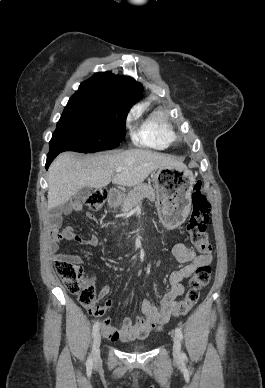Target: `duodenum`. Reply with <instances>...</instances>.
<instances>
[{
	"mask_svg": "<svg viewBox=\"0 0 265 388\" xmlns=\"http://www.w3.org/2000/svg\"><path fill=\"white\" fill-rule=\"evenodd\" d=\"M122 200V193L117 189H112L108 195V201L111 206L118 205Z\"/></svg>",
	"mask_w": 265,
	"mask_h": 388,
	"instance_id": "410a0bca",
	"label": "duodenum"
}]
</instances>
